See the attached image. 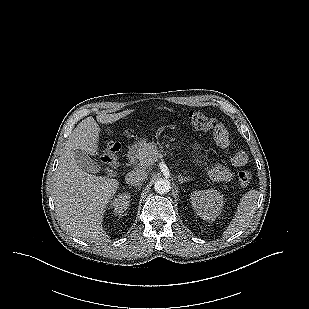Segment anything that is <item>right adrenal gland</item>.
<instances>
[{
  "mask_svg": "<svg viewBox=\"0 0 309 309\" xmlns=\"http://www.w3.org/2000/svg\"><path fill=\"white\" fill-rule=\"evenodd\" d=\"M129 188H131V186L129 187ZM134 188H138V190H140V188H141V185H134Z\"/></svg>",
  "mask_w": 309,
  "mask_h": 309,
  "instance_id": "1",
  "label": "right adrenal gland"
}]
</instances>
